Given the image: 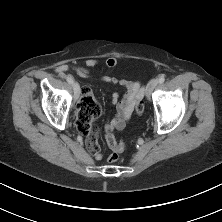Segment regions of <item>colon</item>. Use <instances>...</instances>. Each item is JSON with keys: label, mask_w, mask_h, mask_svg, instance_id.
Returning a JSON list of instances; mask_svg holds the SVG:
<instances>
[{"label": "colon", "mask_w": 222, "mask_h": 222, "mask_svg": "<svg viewBox=\"0 0 222 222\" xmlns=\"http://www.w3.org/2000/svg\"><path fill=\"white\" fill-rule=\"evenodd\" d=\"M144 111V105L139 102L136 107V113L141 115ZM101 113V107L95 96L90 89H83L81 100L78 107V115L76 120V126L79 132L87 134L88 127L91 122L98 118ZM106 141L111 148L112 153L108 158V161L113 163L119 159V153L124 151L127 144L124 142H117L115 137L109 131L106 135Z\"/></svg>", "instance_id": "1"}]
</instances>
